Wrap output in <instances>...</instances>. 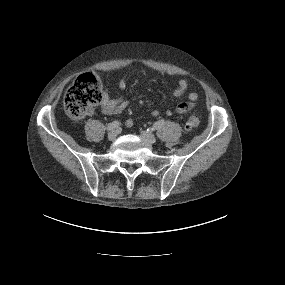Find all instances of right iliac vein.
Returning <instances> with one entry per match:
<instances>
[{
  "mask_svg": "<svg viewBox=\"0 0 285 285\" xmlns=\"http://www.w3.org/2000/svg\"><path fill=\"white\" fill-rule=\"evenodd\" d=\"M116 137H117V132H116V131H111V132L108 134V139H109L110 141L115 140Z\"/></svg>",
  "mask_w": 285,
  "mask_h": 285,
  "instance_id": "1",
  "label": "right iliac vein"
}]
</instances>
